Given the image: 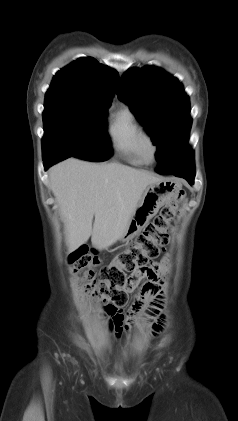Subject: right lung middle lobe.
<instances>
[{
    "mask_svg": "<svg viewBox=\"0 0 238 421\" xmlns=\"http://www.w3.org/2000/svg\"><path fill=\"white\" fill-rule=\"evenodd\" d=\"M110 103L46 93L43 158L53 154L105 161L112 156L106 115Z\"/></svg>",
    "mask_w": 238,
    "mask_h": 421,
    "instance_id": "right-lung-middle-lobe-1",
    "label": "right lung middle lobe"
}]
</instances>
